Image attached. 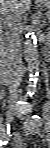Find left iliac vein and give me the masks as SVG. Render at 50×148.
Returning a JSON list of instances; mask_svg holds the SVG:
<instances>
[{
	"label": "left iliac vein",
	"instance_id": "4c4485c4",
	"mask_svg": "<svg viewBox=\"0 0 50 148\" xmlns=\"http://www.w3.org/2000/svg\"><path fill=\"white\" fill-rule=\"evenodd\" d=\"M18 117L23 121L24 126L31 132V133H38V125L35 123L34 120H32L28 116H22L18 115Z\"/></svg>",
	"mask_w": 50,
	"mask_h": 148
}]
</instances>
